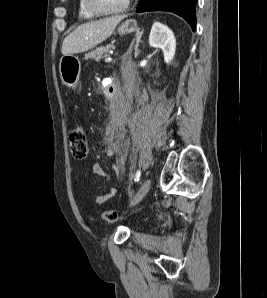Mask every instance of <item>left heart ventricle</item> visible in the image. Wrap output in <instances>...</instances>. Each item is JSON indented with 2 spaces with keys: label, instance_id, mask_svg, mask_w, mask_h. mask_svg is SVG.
Instances as JSON below:
<instances>
[{
  "label": "left heart ventricle",
  "instance_id": "left-heart-ventricle-1",
  "mask_svg": "<svg viewBox=\"0 0 267 298\" xmlns=\"http://www.w3.org/2000/svg\"><path fill=\"white\" fill-rule=\"evenodd\" d=\"M126 0H96L97 5L106 10V11H114L120 8Z\"/></svg>",
  "mask_w": 267,
  "mask_h": 298
}]
</instances>
